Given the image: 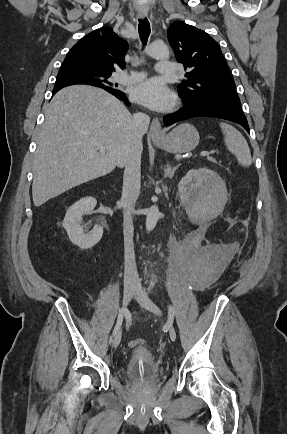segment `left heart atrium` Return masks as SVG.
Instances as JSON below:
<instances>
[{
	"label": "left heart atrium",
	"instance_id": "39dd6f15",
	"mask_svg": "<svg viewBox=\"0 0 287 434\" xmlns=\"http://www.w3.org/2000/svg\"><path fill=\"white\" fill-rule=\"evenodd\" d=\"M133 99L143 106L157 110H168L174 103V95L163 81L152 78L135 86Z\"/></svg>",
	"mask_w": 287,
	"mask_h": 434
}]
</instances>
